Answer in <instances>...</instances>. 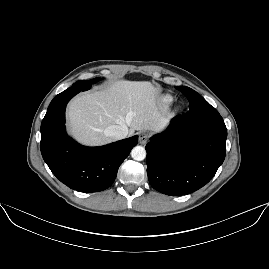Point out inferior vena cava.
Here are the masks:
<instances>
[{"mask_svg": "<svg viewBox=\"0 0 269 269\" xmlns=\"http://www.w3.org/2000/svg\"><path fill=\"white\" fill-rule=\"evenodd\" d=\"M128 132L129 130L126 125H112L105 129V134L114 139L124 138L128 135Z\"/></svg>", "mask_w": 269, "mask_h": 269, "instance_id": "602c4592", "label": "inferior vena cava"}]
</instances>
